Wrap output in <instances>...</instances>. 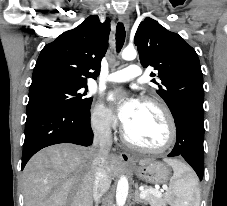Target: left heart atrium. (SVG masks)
<instances>
[{
  "mask_svg": "<svg viewBox=\"0 0 227 206\" xmlns=\"http://www.w3.org/2000/svg\"><path fill=\"white\" fill-rule=\"evenodd\" d=\"M108 101L116 108L118 117L127 130L134 122L140 108L137 99L124 97L120 92L114 91L108 95Z\"/></svg>",
  "mask_w": 227,
  "mask_h": 206,
  "instance_id": "39dd6f15",
  "label": "left heart atrium"
}]
</instances>
